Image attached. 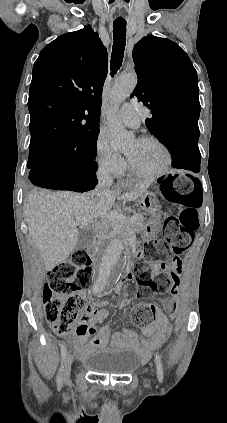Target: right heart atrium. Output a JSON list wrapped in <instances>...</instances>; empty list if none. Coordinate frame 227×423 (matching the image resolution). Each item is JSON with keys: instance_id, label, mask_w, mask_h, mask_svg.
I'll return each mask as SVG.
<instances>
[{"instance_id": "1", "label": "right heart atrium", "mask_w": 227, "mask_h": 423, "mask_svg": "<svg viewBox=\"0 0 227 423\" xmlns=\"http://www.w3.org/2000/svg\"><path fill=\"white\" fill-rule=\"evenodd\" d=\"M94 155L97 165L105 172L115 177L125 173L127 169L125 158L112 148L108 137L103 133H99L96 137Z\"/></svg>"}]
</instances>
